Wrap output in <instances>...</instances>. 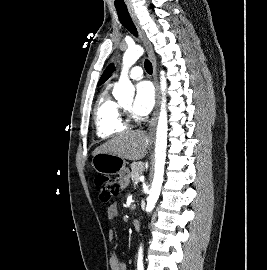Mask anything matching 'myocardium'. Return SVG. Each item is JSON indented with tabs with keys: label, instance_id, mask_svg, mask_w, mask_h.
I'll use <instances>...</instances> for the list:
<instances>
[{
	"label": "myocardium",
	"instance_id": "myocardium-1",
	"mask_svg": "<svg viewBox=\"0 0 267 270\" xmlns=\"http://www.w3.org/2000/svg\"><path fill=\"white\" fill-rule=\"evenodd\" d=\"M122 114H123V119L126 124H130L134 121V118L130 115L129 108L123 106L122 107Z\"/></svg>",
	"mask_w": 267,
	"mask_h": 270
}]
</instances>
